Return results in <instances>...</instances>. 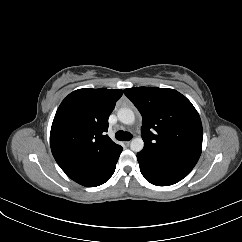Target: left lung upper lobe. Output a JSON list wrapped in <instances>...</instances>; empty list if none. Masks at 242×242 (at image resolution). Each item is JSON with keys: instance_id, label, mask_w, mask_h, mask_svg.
Segmentation results:
<instances>
[{"instance_id": "1", "label": "left lung upper lobe", "mask_w": 242, "mask_h": 242, "mask_svg": "<svg viewBox=\"0 0 242 242\" xmlns=\"http://www.w3.org/2000/svg\"><path fill=\"white\" fill-rule=\"evenodd\" d=\"M124 93L142 115L143 150L194 167L202 150L203 130L192 103L168 88L134 87Z\"/></svg>"}]
</instances>
